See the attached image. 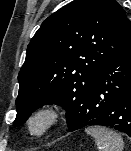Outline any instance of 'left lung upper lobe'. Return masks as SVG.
<instances>
[{
  "mask_svg": "<svg viewBox=\"0 0 131 151\" xmlns=\"http://www.w3.org/2000/svg\"><path fill=\"white\" fill-rule=\"evenodd\" d=\"M131 48V23L116 0H74L47 19L31 39L19 72L14 126L56 103L69 129L105 66Z\"/></svg>",
  "mask_w": 131,
  "mask_h": 151,
  "instance_id": "obj_1",
  "label": "left lung upper lobe"
}]
</instances>
